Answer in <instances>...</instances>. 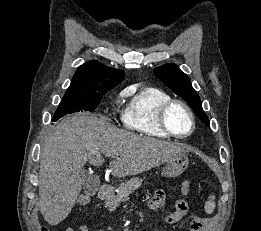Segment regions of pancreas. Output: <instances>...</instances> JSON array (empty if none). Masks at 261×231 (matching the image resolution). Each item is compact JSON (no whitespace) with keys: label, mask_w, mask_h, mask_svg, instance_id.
Here are the masks:
<instances>
[{"label":"pancreas","mask_w":261,"mask_h":231,"mask_svg":"<svg viewBox=\"0 0 261 231\" xmlns=\"http://www.w3.org/2000/svg\"><path fill=\"white\" fill-rule=\"evenodd\" d=\"M142 184V179L138 177L131 178L125 183L120 184L117 189V194L109 196L105 203L110 211H114L119 203L124 201L133 191H135Z\"/></svg>","instance_id":"pancreas-1"}]
</instances>
